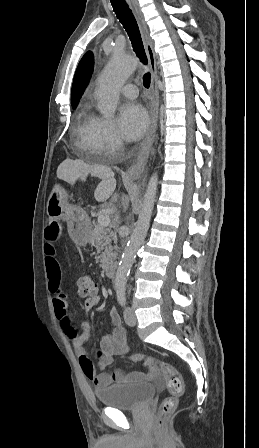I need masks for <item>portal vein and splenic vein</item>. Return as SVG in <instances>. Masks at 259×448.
<instances>
[{"label":"portal vein and splenic vein","mask_w":259,"mask_h":448,"mask_svg":"<svg viewBox=\"0 0 259 448\" xmlns=\"http://www.w3.org/2000/svg\"><path fill=\"white\" fill-rule=\"evenodd\" d=\"M98 224L99 226H103V228H107L110 224V216L108 214H101V216H98Z\"/></svg>","instance_id":"18ae733b"}]
</instances>
